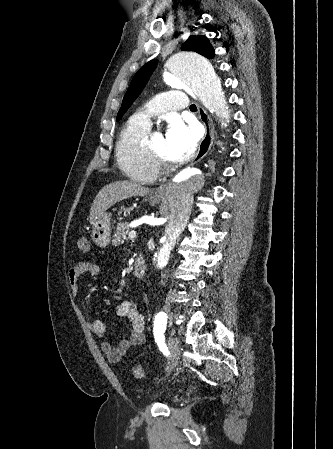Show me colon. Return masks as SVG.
<instances>
[{
	"label": "colon",
	"mask_w": 333,
	"mask_h": 449,
	"mask_svg": "<svg viewBox=\"0 0 333 449\" xmlns=\"http://www.w3.org/2000/svg\"><path fill=\"white\" fill-rule=\"evenodd\" d=\"M90 240L88 236L82 235L78 239V249L81 253H87L90 250ZM133 375L136 378H142L145 375V370L141 365H137L133 368Z\"/></svg>",
	"instance_id": "5ec220e1"
}]
</instances>
